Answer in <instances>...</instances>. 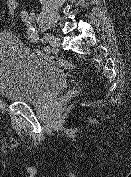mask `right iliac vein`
Wrapping results in <instances>:
<instances>
[{
  "label": "right iliac vein",
  "instance_id": "right-iliac-vein-1",
  "mask_svg": "<svg viewBox=\"0 0 131 177\" xmlns=\"http://www.w3.org/2000/svg\"><path fill=\"white\" fill-rule=\"evenodd\" d=\"M32 16L37 22H39L40 16L35 15V13H32ZM44 39L52 47H57L59 45V39L54 35L44 33Z\"/></svg>",
  "mask_w": 131,
  "mask_h": 177
}]
</instances>
